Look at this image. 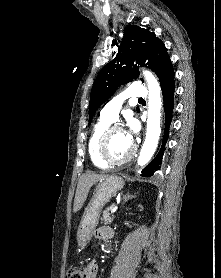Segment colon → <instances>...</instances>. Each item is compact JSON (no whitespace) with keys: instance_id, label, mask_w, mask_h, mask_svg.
Here are the masks:
<instances>
[{"instance_id":"1","label":"colon","mask_w":221,"mask_h":278,"mask_svg":"<svg viewBox=\"0 0 221 278\" xmlns=\"http://www.w3.org/2000/svg\"><path fill=\"white\" fill-rule=\"evenodd\" d=\"M66 278H86V274L82 268L74 266L67 270Z\"/></svg>"}]
</instances>
